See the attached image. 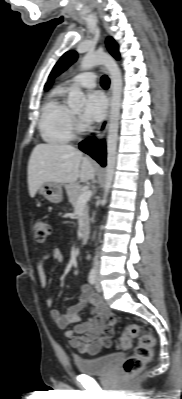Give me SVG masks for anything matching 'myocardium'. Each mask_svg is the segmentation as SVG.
<instances>
[{
	"label": "myocardium",
	"mask_w": 182,
	"mask_h": 399,
	"mask_svg": "<svg viewBox=\"0 0 182 399\" xmlns=\"http://www.w3.org/2000/svg\"><path fill=\"white\" fill-rule=\"evenodd\" d=\"M71 117H73L75 119V115L74 114H71Z\"/></svg>",
	"instance_id": "myocardium-1"
}]
</instances>
